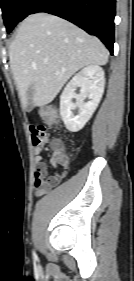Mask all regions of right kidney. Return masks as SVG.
<instances>
[{
    "label": "right kidney",
    "mask_w": 134,
    "mask_h": 281,
    "mask_svg": "<svg viewBox=\"0 0 134 281\" xmlns=\"http://www.w3.org/2000/svg\"><path fill=\"white\" fill-rule=\"evenodd\" d=\"M105 78L101 67L90 65L77 73L64 88L60 97V115L71 132L81 130L96 110L103 92ZM80 88V94H76V88ZM76 99V103L72 99ZM88 98L87 103L84 100ZM79 109L74 115L73 110Z\"/></svg>",
    "instance_id": "right-kidney-1"
}]
</instances>
